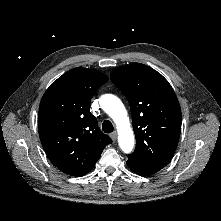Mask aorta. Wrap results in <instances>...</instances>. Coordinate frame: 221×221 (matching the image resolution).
<instances>
[{
	"mask_svg": "<svg viewBox=\"0 0 221 221\" xmlns=\"http://www.w3.org/2000/svg\"><path fill=\"white\" fill-rule=\"evenodd\" d=\"M100 106L117 126L120 148L125 153H131L134 148V134L123 103L117 96L105 94L100 98Z\"/></svg>",
	"mask_w": 221,
	"mask_h": 221,
	"instance_id": "1",
	"label": "aorta"
}]
</instances>
